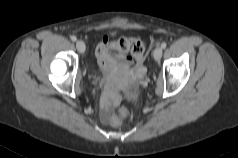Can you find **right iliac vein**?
Here are the masks:
<instances>
[{
  "mask_svg": "<svg viewBox=\"0 0 238 158\" xmlns=\"http://www.w3.org/2000/svg\"><path fill=\"white\" fill-rule=\"evenodd\" d=\"M76 48L80 53H84L86 49L85 43L81 40H78L76 42Z\"/></svg>",
  "mask_w": 238,
  "mask_h": 158,
  "instance_id": "63e3f726",
  "label": "right iliac vein"
}]
</instances>
